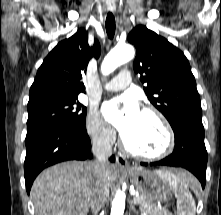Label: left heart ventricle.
Returning <instances> with one entry per match:
<instances>
[{
	"label": "left heart ventricle",
	"instance_id": "b2bd125f",
	"mask_svg": "<svg viewBox=\"0 0 221 215\" xmlns=\"http://www.w3.org/2000/svg\"><path fill=\"white\" fill-rule=\"evenodd\" d=\"M123 138L129 148L141 153H156L165 145V134L160 123L154 116L143 112L133 129Z\"/></svg>",
	"mask_w": 221,
	"mask_h": 215
}]
</instances>
